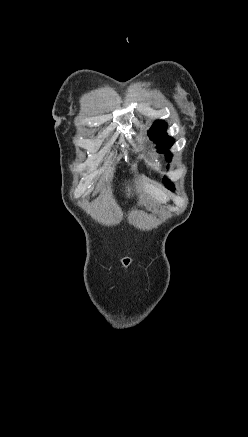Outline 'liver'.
Masks as SVG:
<instances>
[{
  "mask_svg": "<svg viewBox=\"0 0 248 437\" xmlns=\"http://www.w3.org/2000/svg\"><path fill=\"white\" fill-rule=\"evenodd\" d=\"M143 190L146 194H148L159 203H166L168 201L167 194L163 190L152 184L144 183Z\"/></svg>",
  "mask_w": 248,
  "mask_h": 437,
  "instance_id": "obj_1",
  "label": "liver"
}]
</instances>
